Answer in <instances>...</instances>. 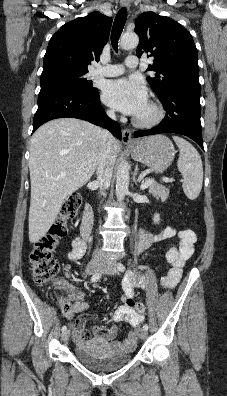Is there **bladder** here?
Here are the masks:
<instances>
[{"instance_id": "obj_1", "label": "bladder", "mask_w": 227, "mask_h": 396, "mask_svg": "<svg viewBox=\"0 0 227 396\" xmlns=\"http://www.w3.org/2000/svg\"><path fill=\"white\" fill-rule=\"evenodd\" d=\"M75 358L86 368L96 372H110L126 365L131 353H108L96 343L88 342L74 347Z\"/></svg>"}]
</instances>
